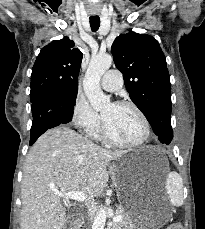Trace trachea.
Masks as SVG:
<instances>
[{"mask_svg":"<svg viewBox=\"0 0 205 229\" xmlns=\"http://www.w3.org/2000/svg\"><path fill=\"white\" fill-rule=\"evenodd\" d=\"M90 26L93 32H96L100 26V18L99 16H91L90 17Z\"/></svg>","mask_w":205,"mask_h":229,"instance_id":"obj_1","label":"trachea"}]
</instances>
